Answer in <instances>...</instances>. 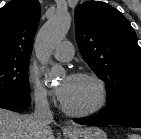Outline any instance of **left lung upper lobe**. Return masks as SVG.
I'll use <instances>...</instances> for the list:
<instances>
[{
  "label": "left lung upper lobe",
  "instance_id": "obj_1",
  "mask_svg": "<svg viewBox=\"0 0 141 139\" xmlns=\"http://www.w3.org/2000/svg\"><path fill=\"white\" fill-rule=\"evenodd\" d=\"M75 35L83 59L106 84L107 105L141 94V50L118 10L101 1L81 4L75 11Z\"/></svg>",
  "mask_w": 141,
  "mask_h": 139
}]
</instances>
